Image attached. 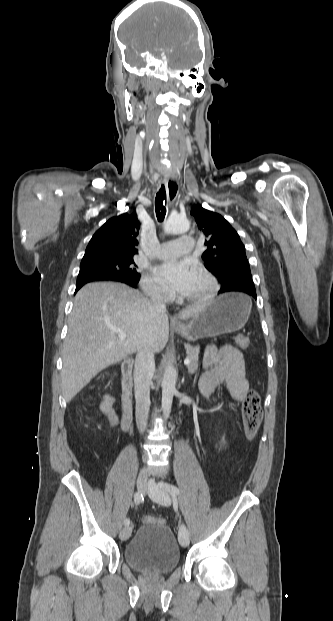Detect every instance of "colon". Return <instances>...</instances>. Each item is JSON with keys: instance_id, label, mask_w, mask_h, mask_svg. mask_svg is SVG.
I'll return each instance as SVG.
<instances>
[{"instance_id": "obj_1", "label": "colon", "mask_w": 333, "mask_h": 621, "mask_svg": "<svg viewBox=\"0 0 333 621\" xmlns=\"http://www.w3.org/2000/svg\"><path fill=\"white\" fill-rule=\"evenodd\" d=\"M236 344L240 348H247L249 340L245 336H239L236 338ZM242 415L245 432L248 437H253L261 424L263 416L261 399L257 391L249 390L246 393L242 403ZM143 522L164 523L162 519L153 516H145Z\"/></svg>"}]
</instances>
